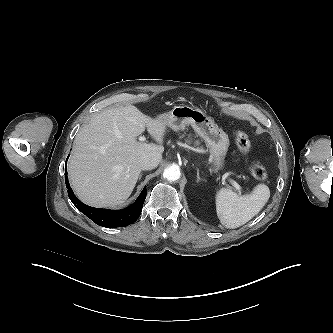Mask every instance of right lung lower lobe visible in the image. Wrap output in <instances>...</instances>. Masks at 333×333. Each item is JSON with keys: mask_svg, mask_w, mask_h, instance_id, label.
I'll return each mask as SVG.
<instances>
[{"mask_svg": "<svg viewBox=\"0 0 333 333\" xmlns=\"http://www.w3.org/2000/svg\"><path fill=\"white\" fill-rule=\"evenodd\" d=\"M65 182L68 189L69 198L76 208L84 213L97 225L102 227H124L133 224L140 216L144 200L146 198V187L142 190L136 201L129 207L122 210H109L93 208L82 203L73 193L65 168Z\"/></svg>", "mask_w": 333, "mask_h": 333, "instance_id": "right-lung-lower-lobe-1", "label": "right lung lower lobe"}]
</instances>
